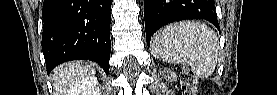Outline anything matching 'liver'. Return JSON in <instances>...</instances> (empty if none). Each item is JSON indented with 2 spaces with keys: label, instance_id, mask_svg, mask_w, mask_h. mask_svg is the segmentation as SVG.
<instances>
[{
  "label": "liver",
  "instance_id": "obj_1",
  "mask_svg": "<svg viewBox=\"0 0 277 95\" xmlns=\"http://www.w3.org/2000/svg\"><path fill=\"white\" fill-rule=\"evenodd\" d=\"M95 68L81 61L67 62L53 70L52 79L55 95H74L77 84L86 77H92Z\"/></svg>",
  "mask_w": 277,
  "mask_h": 95
}]
</instances>
